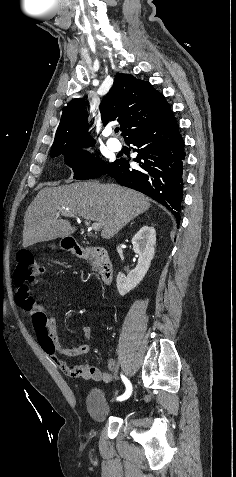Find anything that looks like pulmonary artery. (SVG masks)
Wrapping results in <instances>:
<instances>
[{
	"instance_id": "pulmonary-artery-1",
	"label": "pulmonary artery",
	"mask_w": 236,
	"mask_h": 477,
	"mask_svg": "<svg viewBox=\"0 0 236 477\" xmlns=\"http://www.w3.org/2000/svg\"><path fill=\"white\" fill-rule=\"evenodd\" d=\"M106 134H110V131H106ZM107 145L110 149L118 151L121 148L120 142L116 138H108Z\"/></svg>"
}]
</instances>
